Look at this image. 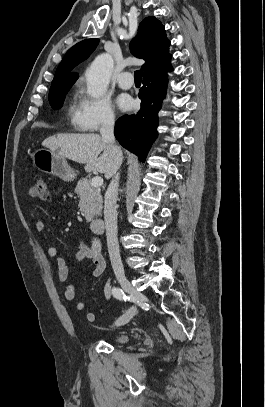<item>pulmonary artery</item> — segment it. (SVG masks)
<instances>
[{"label":"pulmonary artery","instance_id":"1","mask_svg":"<svg viewBox=\"0 0 265 407\" xmlns=\"http://www.w3.org/2000/svg\"><path fill=\"white\" fill-rule=\"evenodd\" d=\"M117 84L124 90L132 88L134 80L131 77V73L129 71L122 72L117 78Z\"/></svg>","mask_w":265,"mask_h":407}]
</instances>
